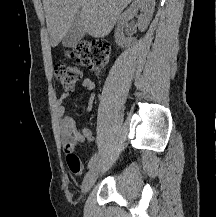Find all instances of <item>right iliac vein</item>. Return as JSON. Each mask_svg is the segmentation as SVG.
I'll return each mask as SVG.
<instances>
[{
    "label": "right iliac vein",
    "mask_w": 216,
    "mask_h": 217,
    "mask_svg": "<svg viewBox=\"0 0 216 217\" xmlns=\"http://www.w3.org/2000/svg\"><path fill=\"white\" fill-rule=\"evenodd\" d=\"M98 172H99V164H94L86 174L82 184V192L84 194L87 193L93 186L95 179L98 175Z\"/></svg>",
    "instance_id": "obj_1"
}]
</instances>
